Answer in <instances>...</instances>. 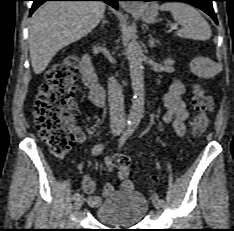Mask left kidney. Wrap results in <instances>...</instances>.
I'll return each mask as SVG.
<instances>
[{
	"label": "left kidney",
	"mask_w": 234,
	"mask_h": 231,
	"mask_svg": "<svg viewBox=\"0 0 234 231\" xmlns=\"http://www.w3.org/2000/svg\"><path fill=\"white\" fill-rule=\"evenodd\" d=\"M190 70L198 77L207 79L217 75L222 67L209 58L196 57L190 62Z\"/></svg>",
	"instance_id": "left-kidney-1"
}]
</instances>
